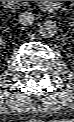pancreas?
<instances>
[{
  "label": "pancreas",
  "instance_id": "1",
  "mask_svg": "<svg viewBox=\"0 0 74 122\" xmlns=\"http://www.w3.org/2000/svg\"><path fill=\"white\" fill-rule=\"evenodd\" d=\"M23 3H24V4H26V3H27V1H24Z\"/></svg>",
  "mask_w": 74,
  "mask_h": 122
}]
</instances>
